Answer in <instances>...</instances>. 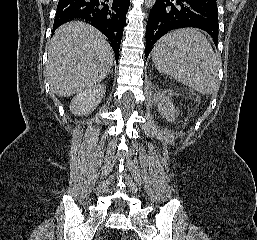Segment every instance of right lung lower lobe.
I'll return each instance as SVG.
<instances>
[{"mask_svg":"<svg viewBox=\"0 0 257 240\" xmlns=\"http://www.w3.org/2000/svg\"><path fill=\"white\" fill-rule=\"evenodd\" d=\"M129 5L130 0H59L53 32L72 19H84L109 39L118 62Z\"/></svg>","mask_w":257,"mask_h":240,"instance_id":"obj_1","label":"right lung lower lobe"}]
</instances>
